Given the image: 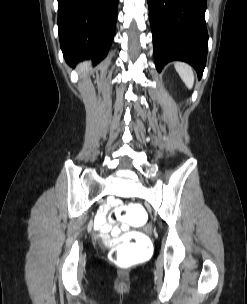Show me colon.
<instances>
[{
	"instance_id": "5ec220e1",
	"label": "colon",
	"mask_w": 247,
	"mask_h": 304,
	"mask_svg": "<svg viewBox=\"0 0 247 304\" xmlns=\"http://www.w3.org/2000/svg\"><path fill=\"white\" fill-rule=\"evenodd\" d=\"M109 216L126 217L120 218V225H148L150 219L143 202H126L124 206H115L114 210L109 211ZM100 244H103V253H110V260L117 264L152 259L155 246L151 237H147V233H141V229H128L118 245L114 246L113 237H100Z\"/></svg>"
}]
</instances>
